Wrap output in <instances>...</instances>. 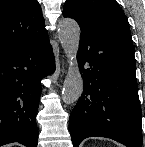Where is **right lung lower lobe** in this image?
<instances>
[{
  "instance_id": "obj_1",
  "label": "right lung lower lobe",
  "mask_w": 145,
  "mask_h": 147,
  "mask_svg": "<svg viewBox=\"0 0 145 147\" xmlns=\"http://www.w3.org/2000/svg\"><path fill=\"white\" fill-rule=\"evenodd\" d=\"M54 69L47 34L0 56V146L36 147L40 80Z\"/></svg>"
}]
</instances>
